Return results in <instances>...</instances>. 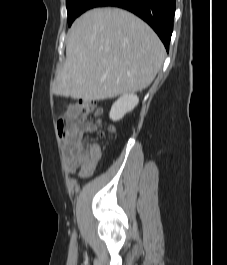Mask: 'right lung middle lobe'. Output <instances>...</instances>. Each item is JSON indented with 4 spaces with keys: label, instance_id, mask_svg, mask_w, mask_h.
Instances as JSON below:
<instances>
[{
    "label": "right lung middle lobe",
    "instance_id": "1",
    "mask_svg": "<svg viewBox=\"0 0 227 265\" xmlns=\"http://www.w3.org/2000/svg\"><path fill=\"white\" fill-rule=\"evenodd\" d=\"M94 1L95 0H66L68 25L70 26L76 17L90 9Z\"/></svg>",
    "mask_w": 227,
    "mask_h": 265
}]
</instances>
